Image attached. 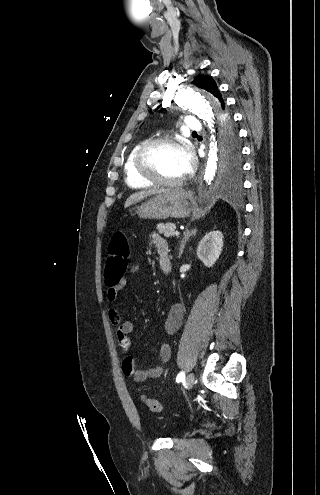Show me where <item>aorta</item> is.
I'll list each match as a JSON object with an SVG mask.
<instances>
[{"label": "aorta", "instance_id": "aorta-1", "mask_svg": "<svg viewBox=\"0 0 320 495\" xmlns=\"http://www.w3.org/2000/svg\"><path fill=\"white\" fill-rule=\"evenodd\" d=\"M174 103L194 112L211 129V141L209 146L208 160L205 168V185L210 186L215 178L218 165V148L214 129V114H219V104L217 100L208 92L202 89H188L177 93ZM221 187H229V182L223 181ZM204 204H202L203 206Z\"/></svg>", "mask_w": 320, "mask_h": 495}]
</instances>
